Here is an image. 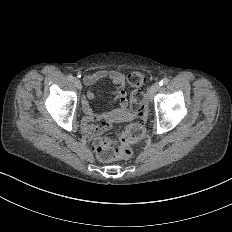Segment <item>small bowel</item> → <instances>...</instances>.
I'll list each match as a JSON object with an SVG mask.
<instances>
[{"mask_svg":"<svg viewBox=\"0 0 232 232\" xmlns=\"http://www.w3.org/2000/svg\"><path fill=\"white\" fill-rule=\"evenodd\" d=\"M103 79H109L110 83L117 87L119 107L107 112L98 113L92 106V101L95 98L94 92L91 90L80 92L78 102L83 117L79 133L88 141L97 139L105 132L110 131L115 120L123 121L129 119L131 116L127 82L120 70L100 69L93 75L84 74L80 78V84L89 86Z\"/></svg>","mask_w":232,"mask_h":232,"instance_id":"obj_1","label":"small bowel"}]
</instances>
